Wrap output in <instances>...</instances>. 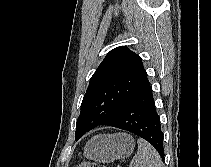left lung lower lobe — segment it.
<instances>
[{"instance_id":"0a47b994","label":"left lung lower lobe","mask_w":211,"mask_h":167,"mask_svg":"<svg viewBox=\"0 0 211 167\" xmlns=\"http://www.w3.org/2000/svg\"><path fill=\"white\" fill-rule=\"evenodd\" d=\"M104 125L132 132L152 144L164 157L163 133L150 84L136 94ZM78 140V139H76Z\"/></svg>"}]
</instances>
